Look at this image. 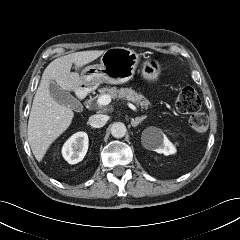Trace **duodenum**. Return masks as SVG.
Masks as SVG:
<instances>
[{
    "label": "duodenum",
    "instance_id": "obj_1",
    "mask_svg": "<svg viewBox=\"0 0 240 240\" xmlns=\"http://www.w3.org/2000/svg\"><path fill=\"white\" fill-rule=\"evenodd\" d=\"M76 95L80 100H82L85 97V92L82 89L78 88L76 91Z\"/></svg>",
    "mask_w": 240,
    "mask_h": 240
}]
</instances>
